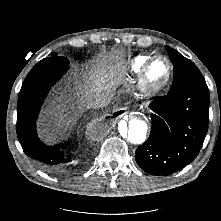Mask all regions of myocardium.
<instances>
[{"instance_id":"myocardium-1","label":"myocardium","mask_w":221,"mask_h":221,"mask_svg":"<svg viewBox=\"0 0 221 221\" xmlns=\"http://www.w3.org/2000/svg\"><path fill=\"white\" fill-rule=\"evenodd\" d=\"M158 59H163L168 64V75L166 79L160 84H151L148 81V72L151 65ZM173 78V64L171 60L164 55L152 56L143 66L138 77V88L145 96L152 97L162 93L171 83Z\"/></svg>"}]
</instances>
